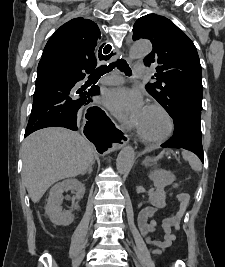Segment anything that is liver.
<instances>
[{"label": "liver", "instance_id": "obj_1", "mask_svg": "<svg viewBox=\"0 0 225 267\" xmlns=\"http://www.w3.org/2000/svg\"><path fill=\"white\" fill-rule=\"evenodd\" d=\"M22 160V179L36 203L55 182L86 172L94 161V148L79 133L45 128L24 140Z\"/></svg>", "mask_w": 225, "mask_h": 267}]
</instances>
